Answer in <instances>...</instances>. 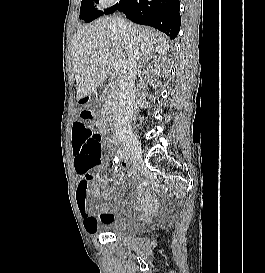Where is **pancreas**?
Wrapping results in <instances>:
<instances>
[{"instance_id":"1","label":"pancreas","mask_w":265,"mask_h":273,"mask_svg":"<svg viewBox=\"0 0 265 273\" xmlns=\"http://www.w3.org/2000/svg\"><path fill=\"white\" fill-rule=\"evenodd\" d=\"M104 104L103 109L104 110H110L114 111L116 109L117 105V90L115 86L109 87L104 95Z\"/></svg>"}]
</instances>
